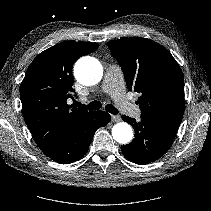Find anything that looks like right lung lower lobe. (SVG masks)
<instances>
[{
  "mask_svg": "<svg viewBox=\"0 0 211 211\" xmlns=\"http://www.w3.org/2000/svg\"><path fill=\"white\" fill-rule=\"evenodd\" d=\"M110 119L107 112L91 111L78 119L61 140L44 153L53 161L61 164L79 160L87 152L96 130L107 125Z\"/></svg>",
  "mask_w": 211,
  "mask_h": 211,
  "instance_id": "1",
  "label": "right lung lower lobe"
}]
</instances>
